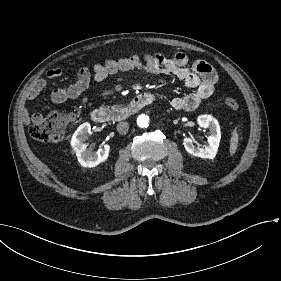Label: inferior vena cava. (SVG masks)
<instances>
[{"mask_svg":"<svg viewBox=\"0 0 281 281\" xmlns=\"http://www.w3.org/2000/svg\"><path fill=\"white\" fill-rule=\"evenodd\" d=\"M117 131L119 132V134L121 135H125L127 134L128 130H129V124L128 122H119L117 124Z\"/></svg>","mask_w":281,"mask_h":281,"instance_id":"1","label":"inferior vena cava"}]
</instances>
